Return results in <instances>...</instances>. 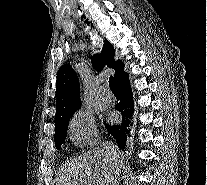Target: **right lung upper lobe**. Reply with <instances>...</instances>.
<instances>
[{
	"mask_svg": "<svg viewBox=\"0 0 207 185\" xmlns=\"http://www.w3.org/2000/svg\"><path fill=\"white\" fill-rule=\"evenodd\" d=\"M114 56L113 46L105 39L102 53L93 56L92 64L97 71H101L105 65L113 68L115 70L114 79L118 82L127 74L123 70V62L115 61ZM56 98L55 129L68 124L70 117L81 106L78 77L69 64L63 65L57 73Z\"/></svg>",
	"mask_w": 207,
	"mask_h": 185,
	"instance_id": "obj_1",
	"label": "right lung upper lobe"
}]
</instances>
